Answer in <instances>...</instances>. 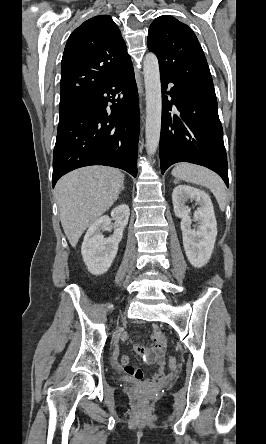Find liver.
<instances>
[{"label":"liver","mask_w":266,"mask_h":444,"mask_svg":"<svg viewBox=\"0 0 266 444\" xmlns=\"http://www.w3.org/2000/svg\"><path fill=\"white\" fill-rule=\"evenodd\" d=\"M124 174L105 166L74 170L57 182V204L63 230L72 247L118 199Z\"/></svg>","instance_id":"liver-1"}]
</instances>
